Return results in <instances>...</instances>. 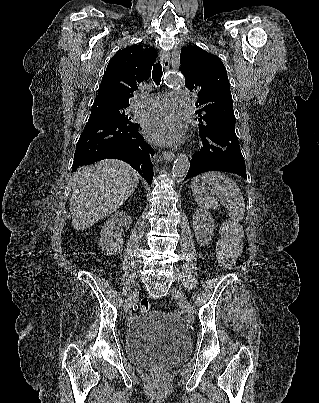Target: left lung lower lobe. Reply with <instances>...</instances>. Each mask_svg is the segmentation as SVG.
<instances>
[{
    "label": "left lung lower lobe",
    "mask_w": 319,
    "mask_h": 403,
    "mask_svg": "<svg viewBox=\"0 0 319 403\" xmlns=\"http://www.w3.org/2000/svg\"><path fill=\"white\" fill-rule=\"evenodd\" d=\"M200 138V150L192 155L185 180L207 171H226L247 178L235 122L220 123L200 132Z\"/></svg>",
    "instance_id": "0a47b994"
}]
</instances>
